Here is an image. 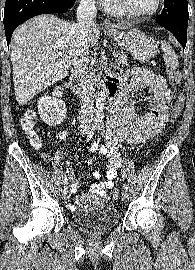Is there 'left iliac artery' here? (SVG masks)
<instances>
[{
  "label": "left iliac artery",
  "instance_id": "left-iliac-artery-1",
  "mask_svg": "<svg viewBox=\"0 0 195 270\" xmlns=\"http://www.w3.org/2000/svg\"><path fill=\"white\" fill-rule=\"evenodd\" d=\"M100 128H101V127H100V125H99V126H98V129H99V130H101ZM123 188H124V190H125V191H127V190H128V187H127V185H126V184H123Z\"/></svg>",
  "mask_w": 195,
  "mask_h": 270
}]
</instances>
